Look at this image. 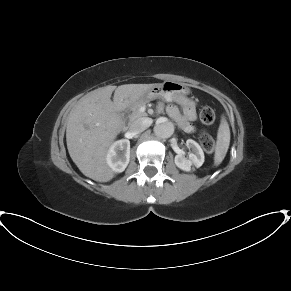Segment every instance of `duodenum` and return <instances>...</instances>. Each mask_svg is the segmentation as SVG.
I'll return each instance as SVG.
<instances>
[{
  "label": "duodenum",
  "mask_w": 291,
  "mask_h": 291,
  "mask_svg": "<svg viewBox=\"0 0 291 291\" xmlns=\"http://www.w3.org/2000/svg\"><path fill=\"white\" fill-rule=\"evenodd\" d=\"M115 119L117 121V124L119 127H122L123 122H122V108H116L115 111Z\"/></svg>",
  "instance_id": "1"
}]
</instances>
